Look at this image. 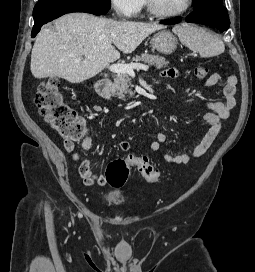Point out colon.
Returning <instances> with one entry per match:
<instances>
[{
  "label": "colon",
  "mask_w": 255,
  "mask_h": 272,
  "mask_svg": "<svg viewBox=\"0 0 255 272\" xmlns=\"http://www.w3.org/2000/svg\"><path fill=\"white\" fill-rule=\"evenodd\" d=\"M208 73L207 66H199L195 69L198 79L206 78ZM35 104L45 121L65 145H73L86 136L87 127L64 100L58 79L48 78L39 84L35 94ZM131 166H134L149 183H157L160 179V173L150 163L148 157L131 155L127 159L118 158L108 164L106 179L109 185L123 186L127 181Z\"/></svg>",
  "instance_id": "1"
}]
</instances>
